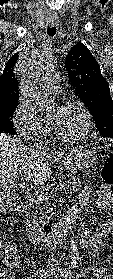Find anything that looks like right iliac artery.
I'll return each instance as SVG.
<instances>
[{
	"mask_svg": "<svg viewBox=\"0 0 113 279\" xmlns=\"http://www.w3.org/2000/svg\"><path fill=\"white\" fill-rule=\"evenodd\" d=\"M66 272H67V270L64 269V268L58 269V272H55V271L52 272L50 270L39 269V270L36 271L35 276L38 279H46L47 277H49L51 274L54 273V275H57L59 277H63Z\"/></svg>",
	"mask_w": 113,
	"mask_h": 279,
	"instance_id": "right-iliac-artery-1",
	"label": "right iliac artery"
}]
</instances>
